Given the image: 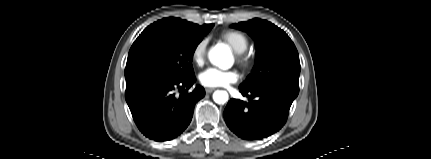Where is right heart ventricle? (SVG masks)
I'll return each mask as SVG.
<instances>
[{
	"label": "right heart ventricle",
	"instance_id": "right-heart-ventricle-1",
	"mask_svg": "<svg viewBox=\"0 0 431 159\" xmlns=\"http://www.w3.org/2000/svg\"><path fill=\"white\" fill-rule=\"evenodd\" d=\"M220 38L226 42L236 53H243L247 50L249 40L247 36L236 30H227L221 33Z\"/></svg>",
	"mask_w": 431,
	"mask_h": 159
}]
</instances>
